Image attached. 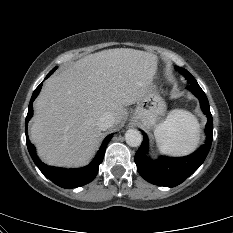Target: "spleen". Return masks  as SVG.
<instances>
[{"mask_svg": "<svg viewBox=\"0 0 233 233\" xmlns=\"http://www.w3.org/2000/svg\"><path fill=\"white\" fill-rule=\"evenodd\" d=\"M199 133L197 119L185 110L171 111L165 121L154 130L158 149L173 156L192 152L199 142Z\"/></svg>", "mask_w": 233, "mask_h": 233, "instance_id": "3e777b00", "label": "spleen"}]
</instances>
